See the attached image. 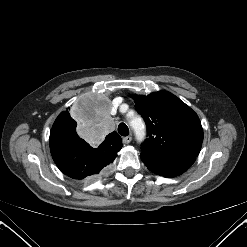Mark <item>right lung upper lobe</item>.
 Masks as SVG:
<instances>
[{
    "mask_svg": "<svg viewBox=\"0 0 247 247\" xmlns=\"http://www.w3.org/2000/svg\"><path fill=\"white\" fill-rule=\"evenodd\" d=\"M69 119V113L68 111H63L56 119V121L53 124L52 128H60L61 122H66ZM66 130V129H65ZM69 131L76 132V129H71ZM101 146H109L112 147L111 149L115 151H119L122 148V141L121 137L114 131L106 136L105 140L101 143Z\"/></svg>",
    "mask_w": 247,
    "mask_h": 247,
    "instance_id": "cb5924a9",
    "label": "right lung upper lobe"
}]
</instances>
